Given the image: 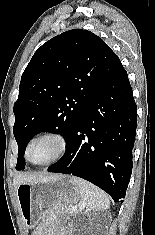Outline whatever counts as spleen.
<instances>
[{
    "label": "spleen",
    "mask_w": 155,
    "mask_h": 235,
    "mask_svg": "<svg viewBox=\"0 0 155 235\" xmlns=\"http://www.w3.org/2000/svg\"><path fill=\"white\" fill-rule=\"evenodd\" d=\"M73 182L78 186L82 203L86 210H107L110 206L109 198L105 192L90 182L73 177Z\"/></svg>",
    "instance_id": "obj_1"
}]
</instances>
